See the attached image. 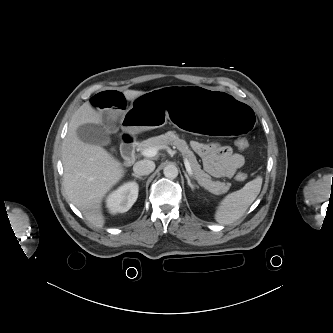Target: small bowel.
I'll list each match as a JSON object with an SVG mask.
<instances>
[{
  "label": "small bowel",
  "instance_id": "obj_1",
  "mask_svg": "<svg viewBox=\"0 0 333 333\" xmlns=\"http://www.w3.org/2000/svg\"><path fill=\"white\" fill-rule=\"evenodd\" d=\"M89 107L103 115L110 127L114 126L127 107L126 96L116 90H108L94 95ZM191 147L201 157L204 169L213 177H232L244 164V157L234 153L227 146L192 141Z\"/></svg>",
  "mask_w": 333,
  "mask_h": 333
}]
</instances>
